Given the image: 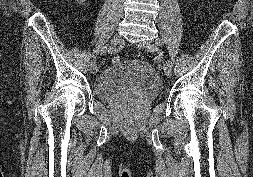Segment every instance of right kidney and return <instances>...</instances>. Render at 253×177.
<instances>
[{
  "label": "right kidney",
  "instance_id": "ca27d5eb",
  "mask_svg": "<svg viewBox=\"0 0 253 177\" xmlns=\"http://www.w3.org/2000/svg\"><path fill=\"white\" fill-rule=\"evenodd\" d=\"M76 2L83 4L86 0H75Z\"/></svg>",
  "mask_w": 253,
  "mask_h": 177
}]
</instances>
